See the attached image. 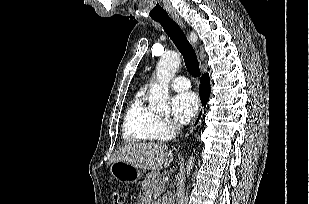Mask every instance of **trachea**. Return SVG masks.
Segmentation results:
<instances>
[{
    "mask_svg": "<svg viewBox=\"0 0 309 204\" xmlns=\"http://www.w3.org/2000/svg\"><path fill=\"white\" fill-rule=\"evenodd\" d=\"M153 19L162 25L164 31L181 52L189 73L194 77H199L200 68L197 55L181 28L175 21H173V19L169 17V15H161L158 17H153Z\"/></svg>",
    "mask_w": 309,
    "mask_h": 204,
    "instance_id": "trachea-1",
    "label": "trachea"
}]
</instances>
